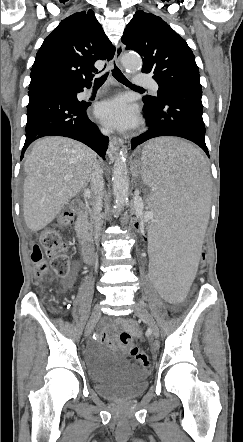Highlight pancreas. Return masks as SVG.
I'll return each mask as SVG.
<instances>
[{
    "label": "pancreas",
    "instance_id": "pancreas-1",
    "mask_svg": "<svg viewBox=\"0 0 243 442\" xmlns=\"http://www.w3.org/2000/svg\"><path fill=\"white\" fill-rule=\"evenodd\" d=\"M92 228L91 221H85L81 227L78 228V237L82 240L86 235H89V230Z\"/></svg>",
    "mask_w": 243,
    "mask_h": 442
}]
</instances>
